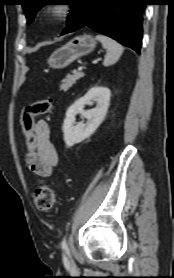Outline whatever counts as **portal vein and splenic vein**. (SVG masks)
Listing matches in <instances>:
<instances>
[{"label": "portal vein and splenic vein", "mask_w": 174, "mask_h": 278, "mask_svg": "<svg viewBox=\"0 0 174 278\" xmlns=\"http://www.w3.org/2000/svg\"><path fill=\"white\" fill-rule=\"evenodd\" d=\"M99 60H100V59H96V60L93 61V63H97ZM82 70H83V67H82V66L78 68V71H82Z\"/></svg>", "instance_id": "portal-vein-and-splenic-vein-1"}]
</instances>
